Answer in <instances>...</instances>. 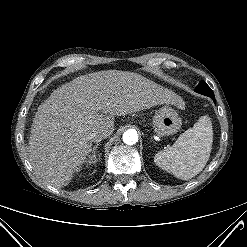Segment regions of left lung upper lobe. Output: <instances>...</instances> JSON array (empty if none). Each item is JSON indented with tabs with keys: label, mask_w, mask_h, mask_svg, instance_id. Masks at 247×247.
Here are the masks:
<instances>
[{
	"label": "left lung upper lobe",
	"mask_w": 247,
	"mask_h": 247,
	"mask_svg": "<svg viewBox=\"0 0 247 247\" xmlns=\"http://www.w3.org/2000/svg\"><path fill=\"white\" fill-rule=\"evenodd\" d=\"M196 92L209 96V97H213V91L211 90V88L206 84V82L201 81L199 83V85L197 86V88L195 89Z\"/></svg>",
	"instance_id": "1"
}]
</instances>
